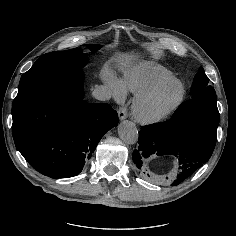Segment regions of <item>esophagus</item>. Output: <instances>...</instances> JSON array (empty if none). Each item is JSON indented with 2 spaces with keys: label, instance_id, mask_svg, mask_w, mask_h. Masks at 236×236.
<instances>
[{
  "label": "esophagus",
  "instance_id": "1",
  "mask_svg": "<svg viewBox=\"0 0 236 236\" xmlns=\"http://www.w3.org/2000/svg\"><path fill=\"white\" fill-rule=\"evenodd\" d=\"M127 111H128V108H127L126 105L119 108L118 117H119L120 120H124V119L127 118Z\"/></svg>",
  "mask_w": 236,
  "mask_h": 236
}]
</instances>
